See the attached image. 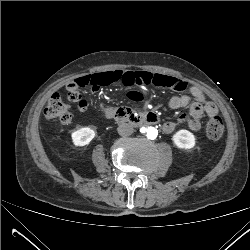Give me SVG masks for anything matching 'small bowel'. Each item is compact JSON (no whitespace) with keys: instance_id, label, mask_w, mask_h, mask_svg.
<instances>
[{"instance_id":"obj_1","label":"small bowel","mask_w":250,"mask_h":250,"mask_svg":"<svg viewBox=\"0 0 250 250\" xmlns=\"http://www.w3.org/2000/svg\"><path fill=\"white\" fill-rule=\"evenodd\" d=\"M164 78V81L160 84L161 87H170L178 91H182L187 87V83L177 77L156 73ZM172 105L177 108L187 107V110L183 112L179 118L178 122H185L189 127L198 131L200 129V118L203 116L204 110L209 116L206 110L207 98L204 90L198 85H191L189 87V94H182L176 96L171 101ZM218 112V110H216ZM176 126L174 121H166L163 124V130L165 132H171Z\"/></svg>"}]
</instances>
